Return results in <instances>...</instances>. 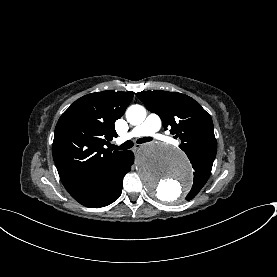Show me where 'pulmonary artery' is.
I'll return each mask as SVG.
<instances>
[{
	"mask_svg": "<svg viewBox=\"0 0 277 277\" xmlns=\"http://www.w3.org/2000/svg\"><path fill=\"white\" fill-rule=\"evenodd\" d=\"M166 119L163 114L157 113L147 119L142 125H136L132 130L122 136L125 144H131L144 136H152L156 131L165 125Z\"/></svg>",
	"mask_w": 277,
	"mask_h": 277,
	"instance_id": "1",
	"label": "pulmonary artery"
}]
</instances>
